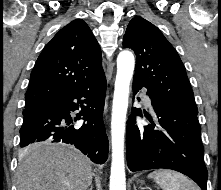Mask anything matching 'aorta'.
<instances>
[{
	"instance_id": "1",
	"label": "aorta",
	"mask_w": 221,
	"mask_h": 190,
	"mask_svg": "<svg viewBox=\"0 0 221 190\" xmlns=\"http://www.w3.org/2000/svg\"><path fill=\"white\" fill-rule=\"evenodd\" d=\"M134 66L135 59L130 51L119 53L111 116L112 162L109 190H126L124 135Z\"/></svg>"
}]
</instances>
